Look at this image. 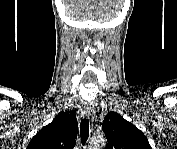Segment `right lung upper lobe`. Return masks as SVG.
Listing matches in <instances>:
<instances>
[{"label":"right lung upper lobe","mask_w":177,"mask_h":149,"mask_svg":"<svg viewBox=\"0 0 177 149\" xmlns=\"http://www.w3.org/2000/svg\"><path fill=\"white\" fill-rule=\"evenodd\" d=\"M77 121L74 111L60 112L32 138L28 149H72L76 144Z\"/></svg>","instance_id":"obj_1"}]
</instances>
